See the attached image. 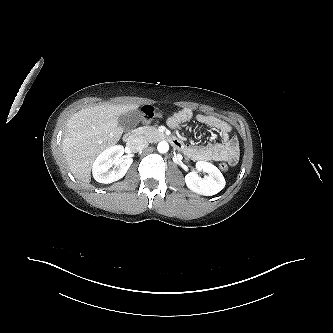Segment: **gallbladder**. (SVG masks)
Here are the masks:
<instances>
[{"instance_id": "obj_1", "label": "gallbladder", "mask_w": 333, "mask_h": 333, "mask_svg": "<svg viewBox=\"0 0 333 333\" xmlns=\"http://www.w3.org/2000/svg\"><path fill=\"white\" fill-rule=\"evenodd\" d=\"M139 114L134 111L128 112L118 117V124L123 128L124 131L129 132L134 129V127L139 122Z\"/></svg>"}]
</instances>
